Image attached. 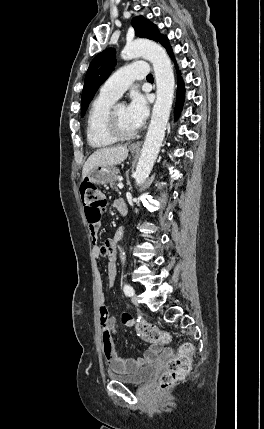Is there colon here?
<instances>
[{
    "label": "colon",
    "mask_w": 264,
    "mask_h": 429,
    "mask_svg": "<svg viewBox=\"0 0 264 429\" xmlns=\"http://www.w3.org/2000/svg\"><path fill=\"white\" fill-rule=\"evenodd\" d=\"M80 194L87 221L90 225L97 224L107 206L105 196L89 181H83L81 183ZM121 319L124 325L134 327L137 335L146 342L162 346L169 343L171 340V336L168 332L144 320H137L128 313H123ZM193 354V346L190 343H184L175 354L169 357L166 369L160 376L159 387L161 389L173 385L189 374Z\"/></svg>",
    "instance_id": "obj_1"
}]
</instances>
